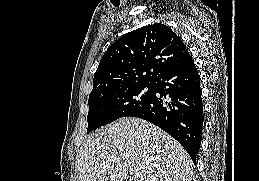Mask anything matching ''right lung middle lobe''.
Masks as SVG:
<instances>
[{
  "instance_id": "dd1d6c3e",
  "label": "right lung middle lobe",
  "mask_w": 259,
  "mask_h": 181,
  "mask_svg": "<svg viewBox=\"0 0 259 181\" xmlns=\"http://www.w3.org/2000/svg\"><path fill=\"white\" fill-rule=\"evenodd\" d=\"M153 84H138L109 89L89 96L87 133L121 117L130 116L150 99Z\"/></svg>"
}]
</instances>
